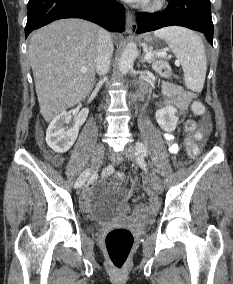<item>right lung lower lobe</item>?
<instances>
[{
    "label": "right lung lower lobe",
    "mask_w": 233,
    "mask_h": 284,
    "mask_svg": "<svg viewBox=\"0 0 233 284\" xmlns=\"http://www.w3.org/2000/svg\"><path fill=\"white\" fill-rule=\"evenodd\" d=\"M62 18L86 19L111 31L125 29V9L116 0H29L25 36Z\"/></svg>",
    "instance_id": "98d812e1"
}]
</instances>
